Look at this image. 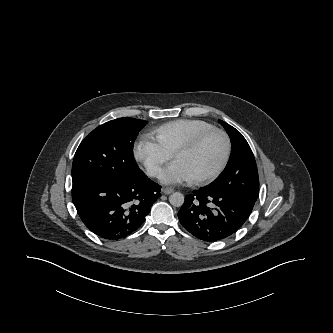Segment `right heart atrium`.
<instances>
[{"label": "right heart atrium", "mask_w": 333, "mask_h": 333, "mask_svg": "<svg viewBox=\"0 0 333 333\" xmlns=\"http://www.w3.org/2000/svg\"><path fill=\"white\" fill-rule=\"evenodd\" d=\"M134 157L145 167L149 176L159 178L164 166L171 159V154L157 142L144 136L134 146Z\"/></svg>", "instance_id": "right-heart-atrium-1"}]
</instances>
